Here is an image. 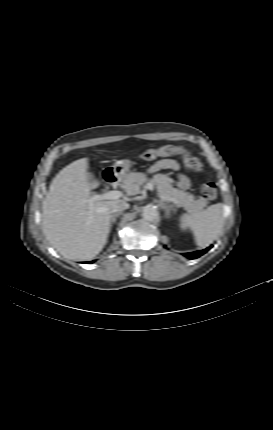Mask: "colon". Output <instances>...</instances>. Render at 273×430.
<instances>
[{
    "instance_id": "colon-1",
    "label": "colon",
    "mask_w": 273,
    "mask_h": 430,
    "mask_svg": "<svg viewBox=\"0 0 273 430\" xmlns=\"http://www.w3.org/2000/svg\"><path fill=\"white\" fill-rule=\"evenodd\" d=\"M182 155L186 168L193 172H200L203 165L198 158L191 155L185 148L179 146H164L157 149H147L141 154L144 160H154L160 156ZM203 196L208 200H213L217 196V187L213 182H205L201 186Z\"/></svg>"
}]
</instances>
